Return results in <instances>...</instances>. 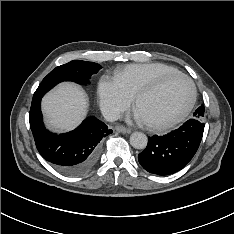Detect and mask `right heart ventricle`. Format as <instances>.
<instances>
[{"instance_id": "e07e8e85", "label": "right heart ventricle", "mask_w": 234, "mask_h": 234, "mask_svg": "<svg viewBox=\"0 0 234 234\" xmlns=\"http://www.w3.org/2000/svg\"><path fill=\"white\" fill-rule=\"evenodd\" d=\"M173 72L179 71L163 63H141L130 64L117 70L115 77L125 92L133 98L143 87L149 85L159 77Z\"/></svg>"}]
</instances>
